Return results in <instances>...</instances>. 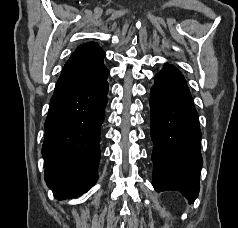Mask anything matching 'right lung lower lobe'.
<instances>
[{"label":"right lung lower lobe","instance_id":"98d812e1","mask_svg":"<svg viewBox=\"0 0 238 228\" xmlns=\"http://www.w3.org/2000/svg\"><path fill=\"white\" fill-rule=\"evenodd\" d=\"M106 69L94 82L55 90L45 122V180L58 200L87 192L98 179Z\"/></svg>","mask_w":238,"mask_h":228}]
</instances>
